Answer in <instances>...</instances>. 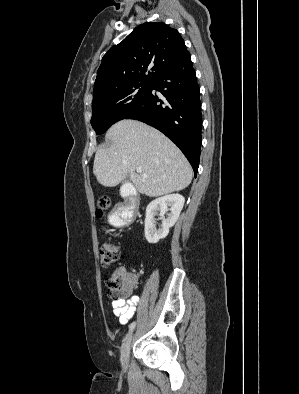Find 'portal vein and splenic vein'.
Instances as JSON below:
<instances>
[{
  "instance_id": "18ae733b",
  "label": "portal vein and splenic vein",
  "mask_w": 299,
  "mask_h": 394,
  "mask_svg": "<svg viewBox=\"0 0 299 394\" xmlns=\"http://www.w3.org/2000/svg\"><path fill=\"white\" fill-rule=\"evenodd\" d=\"M137 173H142V169L141 168H137L136 169ZM144 176H146V174H143Z\"/></svg>"
}]
</instances>
